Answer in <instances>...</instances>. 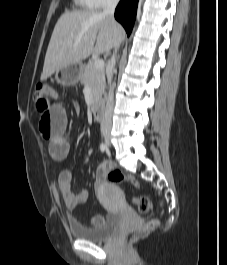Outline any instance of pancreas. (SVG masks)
<instances>
[{
    "mask_svg": "<svg viewBox=\"0 0 227 265\" xmlns=\"http://www.w3.org/2000/svg\"><path fill=\"white\" fill-rule=\"evenodd\" d=\"M80 81L81 84L90 86L93 101L96 102L105 90V70L94 68V61L91 60L84 66Z\"/></svg>",
    "mask_w": 227,
    "mask_h": 265,
    "instance_id": "obj_1",
    "label": "pancreas"
}]
</instances>
